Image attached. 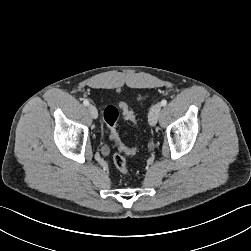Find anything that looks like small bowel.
<instances>
[{
    "instance_id": "small-bowel-1",
    "label": "small bowel",
    "mask_w": 251,
    "mask_h": 251,
    "mask_svg": "<svg viewBox=\"0 0 251 251\" xmlns=\"http://www.w3.org/2000/svg\"><path fill=\"white\" fill-rule=\"evenodd\" d=\"M102 151H103L104 154H107L108 153V148L107 147H103Z\"/></svg>"
}]
</instances>
